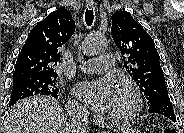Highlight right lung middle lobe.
Instances as JSON below:
<instances>
[{"label": "right lung middle lobe", "mask_w": 184, "mask_h": 133, "mask_svg": "<svg viewBox=\"0 0 184 133\" xmlns=\"http://www.w3.org/2000/svg\"><path fill=\"white\" fill-rule=\"evenodd\" d=\"M57 76H20L13 78L12 96L9 107L17 101L33 95H51L58 98Z\"/></svg>", "instance_id": "obj_1"}]
</instances>
